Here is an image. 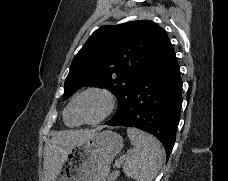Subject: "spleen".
<instances>
[{
    "mask_svg": "<svg viewBox=\"0 0 228 181\" xmlns=\"http://www.w3.org/2000/svg\"><path fill=\"white\" fill-rule=\"evenodd\" d=\"M127 135L133 151L123 165L126 177L134 181H153L163 165V149L159 141L132 127L127 129Z\"/></svg>",
    "mask_w": 228,
    "mask_h": 181,
    "instance_id": "obj_1",
    "label": "spleen"
}]
</instances>
